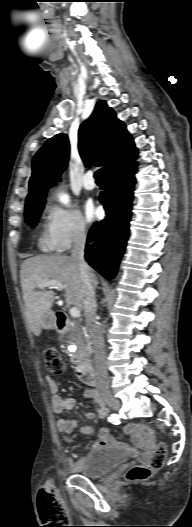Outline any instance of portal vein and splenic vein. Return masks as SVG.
Instances as JSON below:
<instances>
[{
    "mask_svg": "<svg viewBox=\"0 0 192 527\" xmlns=\"http://www.w3.org/2000/svg\"><path fill=\"white\" fill-rule=\"evenodd\" d=\"M38 287L39 288L54 287V288H57L59 290L64 289V285L61 282L55 281V280L43 281V282L38 284ZM69 313H70L71 317H73V318H79L81 316L80 315V310L77 307H72L69 310Z\"/></svg>",
    "mask_w": 192,
    "mask_h": 527,
    "instance_id": "18ae733b",
    "label": "portal vein and splenic vein"
}]
</instances>
